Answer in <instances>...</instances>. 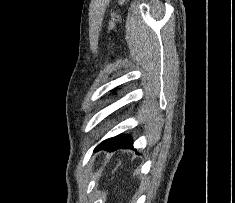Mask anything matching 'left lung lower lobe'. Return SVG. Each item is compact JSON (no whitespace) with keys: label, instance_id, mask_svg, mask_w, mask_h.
Listing matches in <instances>:
<instances>
[{"label":"left lung lower lobe","instance_id":"1","mask_svg":"<svg viewBox=\"0 0 235 203\" xmlns=\"http://www.w3.org/2000/svg\"><path fill=\"white\" fill-rule=\"evenodd\" d=\"M133 148V141L130 136L118 135L113 138H109L102 143H100L94 151L107 150L109 152L118 149Z\"/></svg>","mask_w":235,"mask_h":203}]
</instances>
